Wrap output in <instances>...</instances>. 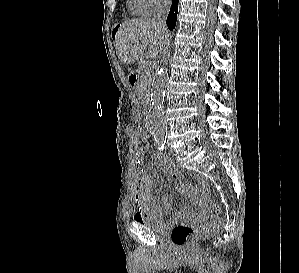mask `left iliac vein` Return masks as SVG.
Returning <instances> with one entry per match:
<instances>
[{"label":"left iliac vein","instance_id":"left-iliac-vein-1","mask_svg":"<svg viewBox=\"0 0 299 273\" xmlns=\"http://www.w3.org/2000/svg\"><path fill=\"white\" fill-rule=\"evenodd\" d=\"M169 152H170V153H174V150L171 149V148H169Z\"/></svg>","mask_w":299,"mask_h":273}]
</instances>
